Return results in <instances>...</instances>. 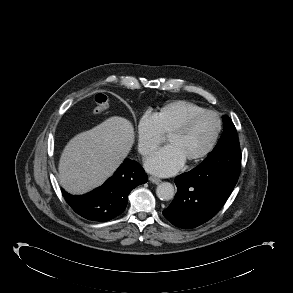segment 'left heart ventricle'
Returning a JSON list of instances; mask_svg holds the SVG:
<instances>
[{
  "label": "left heart ventricle",
  "instance_id": "1",
  "mask_svg": "<svg viewBox=\"0 0 293 293\" xmlns=\"http://www.w3.org/2000/svg\"><path fill=\"white\" fill-rule=\"evenodd\" d=\"M216 127V120L213 116H201L186 133L168 137L167 144L175 147L184 160L188 161L209 145L215 134Z\"/></svg>",
  "mask_w": 293,
  "mask_h": 293
}]
</instances>
